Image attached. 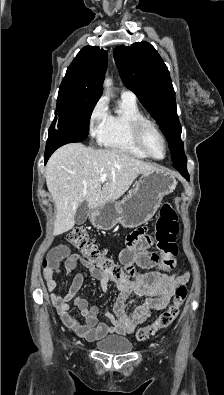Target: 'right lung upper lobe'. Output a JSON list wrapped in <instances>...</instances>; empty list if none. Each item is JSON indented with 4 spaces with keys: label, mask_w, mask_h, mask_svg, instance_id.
<instances>
[{
    "label": "right lung upper lobe",
    "mask_w": 224,
    "mask_h": 395,
    "mask_svg": "<svg viewBox=\"0 0 224 395\" xmlns=\"http://www.w3.org/2000/svg\"><path fill=\"white\" fill-rule=\"evenodd\" d=\"M107 69V52L97 46H86L66 71L61 87L101 96Z\"/></svg>",
    "instance_id": "1"
}]
</instances>
